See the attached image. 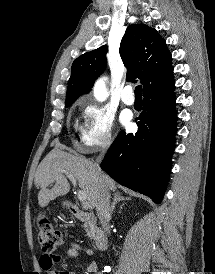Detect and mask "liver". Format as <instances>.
<instances>
[{"label":"liver","mask_w":215,"mask_h":274,"mask_svg":"<svg viewBox=\"0 0 215 274\" xmlns=\"http://www.w3.org/2000/svg\"><path fill=\"white\" fill-rule=\"evenodd\" d=\"M61 170L71 173L78 181L79 187L86 193V207L88 209L96 207L100 177L104 180L108 190H116L114 180L102 171L98 173L92 161L82 156L64 152L56 147L47 154L36 171L34 183L37 188H40L38 193L40 207H46L50 201L66 195L70 191L68 180L61 173ZM51 183H55V185L52 189H48L47 187Z\"/></svg>","instance_id":"obj_1"}]
</instances>
